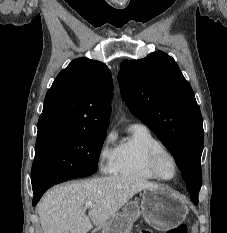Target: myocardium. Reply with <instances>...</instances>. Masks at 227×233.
Here are the masks:
<instances>
[{
    "label": "myocardium",
    "instance_id": "1",
    "mask_svg": "<svg viewBox=\"0 0 227 233\" xmlns=\"http://www.w3.org/2000/svg\"><path fill=\"white\" fill-rule=\"evenodd\" d=\"M162 156H168L172 160L174 172H173V175L170 177L164 176L160 171L159 162H160V159L162 158ZM147 165H148L149 171L152 173V175L156 179H159L162 181H171V180L175 179L178 175V172H179L178 160H177L176 156L166 148L157 149V150L152 151L148 157Z\"/></svg>",
    "mask_w": 227,
    "mask_h": 233
}]
</instances>
